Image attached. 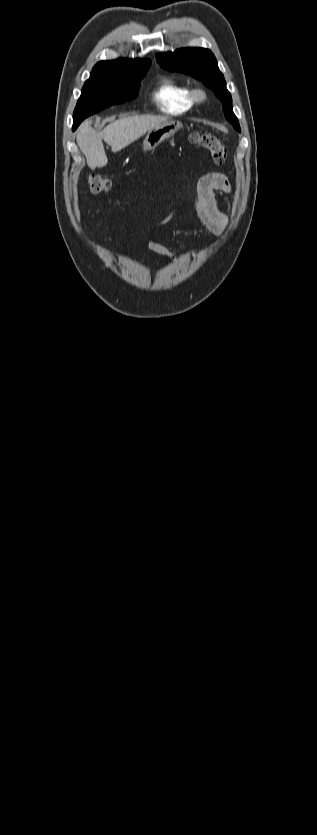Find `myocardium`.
<instances>
[{"instance_id":"obj_1","label":"myocardium","mask_w":317,"mask_h":835,"mask_svg":"<svg viewBox=\"0 0 317 835\" xmlns=\"http://www.w3.org/2000/svg\"><path fill=\"white\" fill-rule=\"evenodd\" d=\"M189 96L193 104H201L207 99V92L202 87H195L190 90Z\"/></svg>"}]
</instances>
